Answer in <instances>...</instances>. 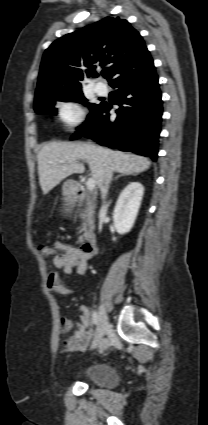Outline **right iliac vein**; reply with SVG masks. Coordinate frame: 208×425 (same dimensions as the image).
Returning <instances> with one entry per match:
<instances>
[{
  "label": "right iliac vein",
  "mask_w": 208,
  "mask_h": 425,
  "mask_svg": "<svg viewBox=\"0 0 208 425\" xmlns=\"http://www.w3.org/2000/svg\"><path fill=\"white\" fill-rule=\"evenodd\" d=\"M109 330H110V324L108 321V316L106 314L104 307L101 305L99 309V321H98V326L96 329V335H95L94 342L92 344L93 349L96 348L97 346H101V347L104 346V344H102V339L104 335L106 334V332Z\"/></svg>",
  "instance_id": "1"
}]
</instances>
